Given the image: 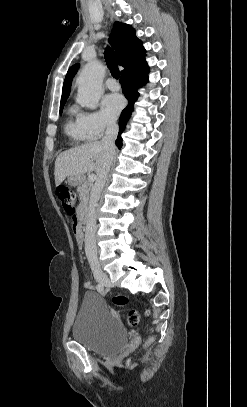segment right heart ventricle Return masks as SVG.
Masks as SVG:
<instances>
[{"mask_svg":"<svg viewBox=\"0 0 247 407\" xmlns=\"http://www.w3.org/2000/svg\"><path fill=\"white\" fill-rule=\"evenodd\" d=\"M65 133L74 143L81 144L90 140L82 121V113L75 106L67 110Z\"/></svg>","mask_w":247,"mask_h":407,"instance_id":"e07e8e85","label":"right heart ventricle"}]
</instances>
